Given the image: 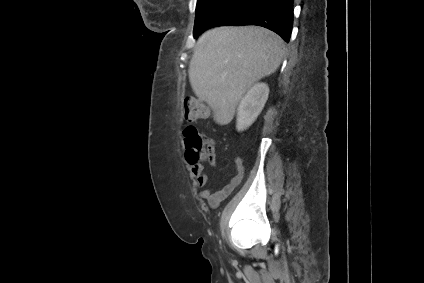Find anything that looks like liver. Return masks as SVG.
<instances>
[{
	"instance_id": "obj_1",
	"label": "liver",
	"mask_w": 424,
	"mask_h": 283,
	"mask_svg": "<svg viewBox=\"0 0 424 283\" xmlns=\"http://www.w3.org/2000/svg\"><path fill=\"white\" fill-rule=\"evenodd\" d=\"M283 48L278 34L260 26L216 27L198 38L189 80L218 124L231 122L243 94L277 70Z\"/></svg>"
}]
</instances>
